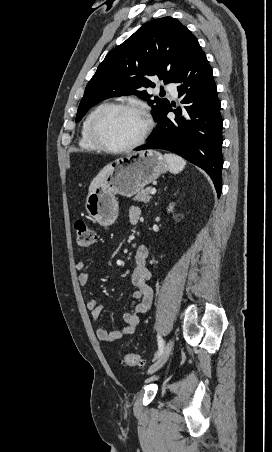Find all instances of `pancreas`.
I'll return each instance as SVG.
<instances>
[{
  "instance_id": "pancreas-1",
  "label": "pancreas",
  "mask_w": 272,
  "mask_h": 452,
  "mask_svg": "<svg viewBox=\"0 0 272 452\" xmlns=\"http://www.w3.org/2000/svg\"><path fill=\"white\" fill-rule=\"evenodd\" d=\"M151 188H146L145 190H142L139 192L136 196H134L133 200L148 203L151 199L150 196Z\"/></svg>"
}]
</instances>
